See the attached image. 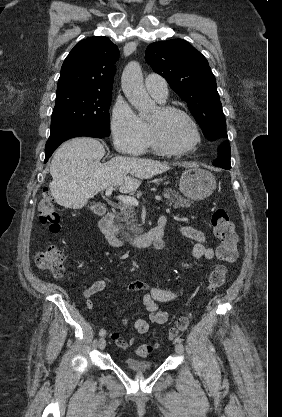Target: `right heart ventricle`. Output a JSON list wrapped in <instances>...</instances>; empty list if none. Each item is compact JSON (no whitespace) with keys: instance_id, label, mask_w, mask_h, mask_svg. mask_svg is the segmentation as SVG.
Returning a JSON list of instances; mask_svg holds the SVG:
<instances>
[{"instance_id":"obj_1","label":"right heart ventricle","mask_w":282,"mask_h":417,"mask_svg":"<svg viewBox=\"0 0 282 417\" xmlns=\"http://www.w3.org/2000/svg\"><path fill=\"white\" fill-rule=\"evenodd\" d=\"M148 145H151V146H153L154 148H157V147H158V146L155 144V142H154V139H153V137H152L151 132H150V134H149Z\"/></svg>"}]
</instances>
